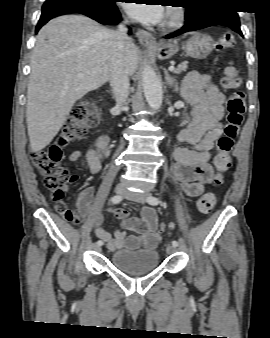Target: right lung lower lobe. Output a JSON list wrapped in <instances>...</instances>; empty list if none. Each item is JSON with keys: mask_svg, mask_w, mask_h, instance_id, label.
Here are the masks:
<instances>
[{"mask_svg": "<svg viewBox=\"0 0 270 338\" xmlns=\"http://www.w3.org/2000/svg\"><path fill=\"white\" fill-rule=\"evenodd\" d=\"M116 0L109 4L87 2L83 0L46 1L42 6V14L36 26V33L50 19L69 13L84 14L102 24H117L121 18Z\"/></svg>", "mask_w": 270, "mask_h": 338, "instance_id": "98d812e1", "label": "right lung lower lobe"}]
</instances>
